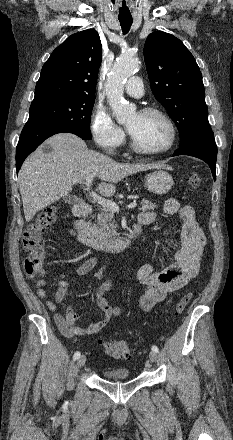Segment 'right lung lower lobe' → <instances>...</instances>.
Instances as JSON below:
<instances>
[{
  "label": "right lung lower lobe",
  "instance_id": "right-lung-lower-lobe-1",
  "mask_svg": "<svg viewBox=\"0 0 233 440\" xmlns=\"http://www.w3.org/2000/svg\"><path fill=\"white\" fill-rule=\"evenodd\" d=\"M73 133L83 140L87 139L77 130L66 126L27 124L24 126L16 149V169L19 171L25 158L44 140L57 133Z\"/></svg>",
  "mask_w": 233,
  "mask_h": 440
}]
</instances>
